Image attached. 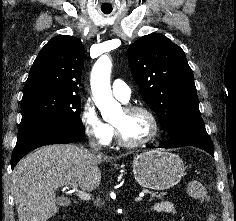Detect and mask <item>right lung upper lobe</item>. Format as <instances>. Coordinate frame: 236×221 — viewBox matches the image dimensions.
I'll return each mask as SVG.
<instances>
[{
    "label": "right lung upper lobe",
    "mask_w": 236,
    "mask_h": 221,
    "mask_svg": "<svg viewBox=\"0 0 236 221\" xmlns=\"http://www.w3.org/2000/svg\"><path fill=\"white\" fill-rule=\"evenodd\" d=\"M84 58V47L78 38L53 37L35 59L23 95L36 91L78 94Z\"/></svg>",
    "instance_id": "right-lung-upper-lobe-1"
}]
</instances>
